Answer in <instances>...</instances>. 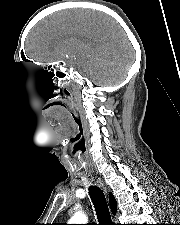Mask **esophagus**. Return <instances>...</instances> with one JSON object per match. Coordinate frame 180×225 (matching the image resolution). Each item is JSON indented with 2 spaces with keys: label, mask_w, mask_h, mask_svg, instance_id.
Wrapping results in <instances>:
<instances>
[{
  "label": "esophagus",
  "mask_w": 180,
  "mask_h": 225,
  "mask_svg": "<svg viewBox=\"0 0 180 225\" xmlns=\"http://www.w3.org/2000/svg\"><path fill=\"white\" fill-rule=\"evenodd\" d=\"M99 183L103 186V183L99 180Z\"/></svg>",
  "instance_id": "34e87169"
}]
</instances>
